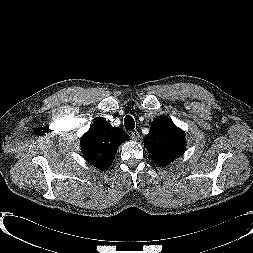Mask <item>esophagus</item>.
<instances>
[{"label":"esophagus","mask_w":253,"mask_h":253,"mask_svg":"<svg viewBox=\"0 0 253 253\" xmlns=\"http://www.w3.org/2000/svg\"><path fill=\"white\" fill-rule=\"evenodd\" d=\"M139 132L137 131V130H133L132 132H131V138L133 139V140H135V141H137L138 139H139Z\"/></svg>","instance_id":"obj_1"}]
</instances>
